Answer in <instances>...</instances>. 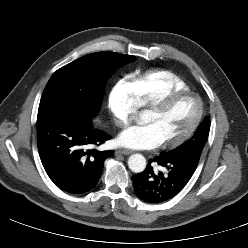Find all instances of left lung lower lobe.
Listing matches in <instances>:
<instances>
[{"label": "left lung lower lobe", "mask_w": 248, "mask_h": 248, "mask_svg": "<svg viewBox=\"0 0 248 248\" xmlns=\"http://www.w3.org/2000/svg\"><path fill=\"white\" fill-rule=\"evenodd\" d=\"M199 162L198 157H175L162 153L149 160L146 169L132 177L136 195L148 203H161L175 197L188 183ZM153 163L166 172H156Z\"/></svg>", "instance_id": "0a47b994"}]
</instances>
